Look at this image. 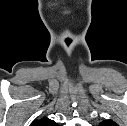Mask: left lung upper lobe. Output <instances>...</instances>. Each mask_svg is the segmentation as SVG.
Masks as SVG:
<instances>
[{
    "instance_id": "left-lung-upper-lobe-1",
    "label": "left lung upper lobe",
    "mask_w": 127,
    "mask_h": 126,
    "mask_svg": "<svg viewBox=\"0 0 127 126\" xmlns=\"http://www.w3.org/2000/svg\"><path fill=\"white\" fill-rule=\"evenodd\" d=\"M100 126H117V124L112 120H104L100 123Z\"/></svg>"
}]
</instances>
